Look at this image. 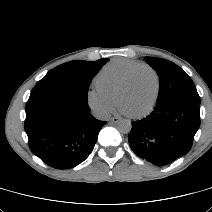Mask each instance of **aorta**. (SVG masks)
Instances as JSON below:
<instances>
[{
	"mask_svg": "<svg viewBox=\"0 0 212 212\" xmlns=\"http://www.w3.org/2000/svg\"><path fill=\"white\" fill-rule=\"evenodd\" d=\"M132 124L130 120H122L118 124V130L119 132L123 134H127L131 131Z\"/></svg>",
	"mask_w": 212,
	"mask_h": 212,
	"instance_id": "aorta-1",
	"label": "aorta"
}]
</instances>
